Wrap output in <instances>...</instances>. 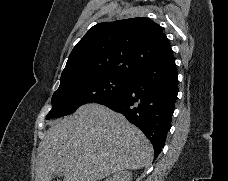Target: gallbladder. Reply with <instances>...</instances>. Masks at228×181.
Returning <instances> with one entry per match:
<instances>
[{"instance_id":"obj_1","label":"gallbladder","mask_w":228,"mask_h":181,"mask_svg":"<svg viewBox=\"0 0 228 181\" xmlns=\"http://www.w3.org/2000/svg\"><path fill=\"white\" fill-rule=\"evenodd\" d=\"M57 177H63V175H61V173H56Z\"/></svg>"}]
</instances>
